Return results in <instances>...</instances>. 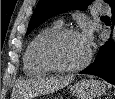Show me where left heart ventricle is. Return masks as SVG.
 Listing matches in <instances>:
<instances>
[{"mask_svg":"<svg viewBox=\"0 0 115 99\" xmlns=\"http://www.w3.org/2000/svg\"><path fill=\"white\" fill-rule=\"evenodd\" d=\"M52 52L59 64L75 66L86 58L88 47L81 35H71L58 41L54 45Z\"/></svg>","mask_w":115,"mask_h":99,"instance_id":"obj_1","label":"left heart ventricle"}]
</instances>
